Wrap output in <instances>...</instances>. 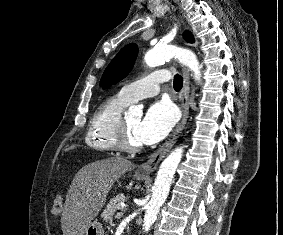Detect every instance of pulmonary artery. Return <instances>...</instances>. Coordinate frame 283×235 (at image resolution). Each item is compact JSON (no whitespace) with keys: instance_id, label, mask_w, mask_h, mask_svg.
Here are the masks:
<instances>
[{"instance_id":"1","label":"pulmonary artery","mask_w":283,"mask_h":235,"mask_svg":"<svg viewBox=\"0 0 283 235\" xmlns=\"http://www.w3.org/2000/svg\"><path fill=\"white\" fill-rule=\"evenodd\" d=\"M169 80L167 70L155 71L137 81L125 85L120 94L128 102H136L140 99L152 97L159 93L160 85Z\"/></svg>"}]
</instances>
